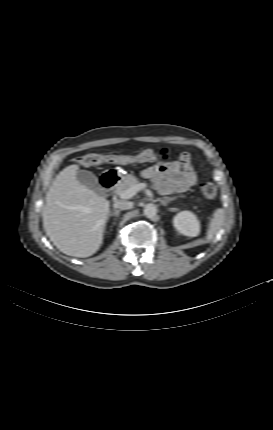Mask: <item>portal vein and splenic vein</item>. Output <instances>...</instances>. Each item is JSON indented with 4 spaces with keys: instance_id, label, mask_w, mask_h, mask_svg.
I'll use <instances>...</instances> for the list:
<instances>
[{
    "instance_id": "1",
    "label": "portal vein and splenic vein",
    "mask_w": 273,
    "mask_h": 430,
    "mask_svg": "<svg viewBox=\"0 0 273 430\" xmlns=\"http://www.w3.org/2000/svg\"><path fill=\"white\" fill-rule=\"evenodd\" d=\"M146 187V184L144 183H139L137 185H134L130 188H128L126 191L124 192H120L118 193V196L122 199H130L131 197H133L138 191L144 189Z\"/></svg>"
}]
</instances>
